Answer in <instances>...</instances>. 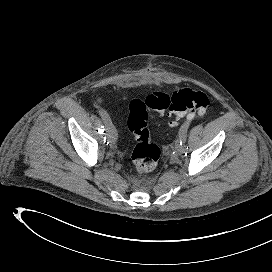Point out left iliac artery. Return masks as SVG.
<instances>
[{
  "instance_id": "obj_1",
  "label": "left iliac artery",
  "mask_w": 272,
  "mask_h": 272,
  "mask_svg": "<svg viewBox=\"0 0 272 272\" xmlns=\"http://www.w3.org/2000/svg\"><path fill=\"white\" fill-rule=\"evenodd\" d=\"M190 123L189 122H185L180 130H179V139L178 142L180 143V145H183L186 142V138H187V131L189 128Z\"/></svg>"
}]
</instances>
